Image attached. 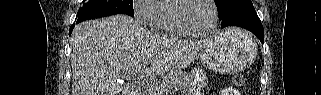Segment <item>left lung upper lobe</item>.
<instances>
[{"label":"left lung upper lobe","instance_id":"5c2ea615","mask_svg":"<svg viewBox=\"0 0 321 95\" xmlns=\"http://www.w3.org/2000/svg\"><path fill=\"white\" fill-rule=\"evenodd\" d=\"M249 1L250 0H215V4L218 8L219 18H221L233 7Z\"/></svg>","mask_w":321,"mask_h":95}]
</instances>
